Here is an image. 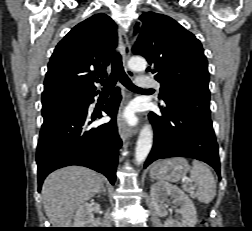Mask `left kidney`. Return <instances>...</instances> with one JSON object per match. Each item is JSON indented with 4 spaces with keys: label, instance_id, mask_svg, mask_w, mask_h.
<instances>
[{
    "label": "left kidney",
    "instance_id": "obj_1",
    "mask_svg": "<svg viewBox=\"0 0 252 231\" xmlns=\"http://www.w3.org/2000/svg\"><path fill=\"white\" fill-rule=\"evenodd\" d=\"M150 195L154 208L158 215H167L166 201L170 196L173 202L180 206L181 218L174 220L167 219L166 225L169 228H194L197 223V212L192 200L180 189L167 183H156L151 186Z\"/></svg>",
    "mask_w": 252,
    "mask_h": 231
}]
</instances>
